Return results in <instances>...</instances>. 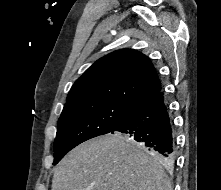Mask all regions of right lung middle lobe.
<instances>
[{
	"instance_id": "obj_1",
	"label": "right lung middle lobe",
	"mask_w": 221,
	"mask_h": 190,
	"mask_svg": "<svg viewBox=\"0 0 221 190\" xmlns=\"http://www.w3.org/2000/svg\"><path fill=\"white\" fill-rule=\"evenodd\" d=\"M133 109L115 101H98L64 107L54 141V164L78 144L111 133Z\"/></svg>"
}]
</instances>
